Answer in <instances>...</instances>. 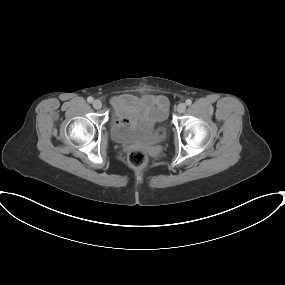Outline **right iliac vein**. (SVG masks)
<instances>
[{"instance_id": "obj_1", "label": "right iliac vein", "mask_w": 285, "mask_h": 285, "mask_svg": "<svg viewBox=\"0 0 285 285\" xmlns=\"http://www.w3.org/2000/svg\"><path fill=\"white\" fill-rule=\"evenodd\" d=\"M93 107L95 108V109H100L101 107H102V102L99 100V99H96V100H94L93 101Z\"/></svg>"}]
</instances>
